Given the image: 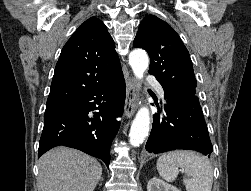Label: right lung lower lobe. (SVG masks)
<instances>
[{"label":"right lung lower lobe","mask_w":251,"mask_h":191,"mask_svg":"<svg viewBox=\"0 0 251 191\" xmlns=\"http://www.w3.org/2000/svg\"><path fill=\"white\" fill-rule=\"evenodd\" d=\"M125 102L123 73L63 107L45 111L38 157L54 146L76 148L102 159L109 167V149ZM99 106L96 107L95 105ZM99 110L92 116L89 112Z\"/></svg>","instance_id":"1"}]
</instances>
